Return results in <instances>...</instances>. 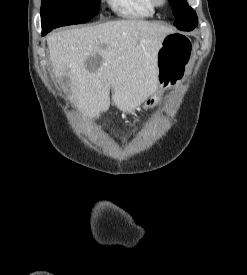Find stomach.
I'll use <instances>...</instances> for the list:
<instances>
[{
	"label": "stomach",
	"instance_id": "1",
	"mask_svg": "<svg viewBox=\"0 0 247 275\" xmlns=\"http://www.w3.org/2000/svg\"><path fill=\"white\" fill-rule=\"evenodd\" d=\"M192 62V43L190 39L179 33L166 35L158 49L156 66L159 89L144 103L143 108L155 107L167 88L182 83Z\"/></svg>",
	"mask_w": 247,
	"mask_h": 275
}]
</instances>
